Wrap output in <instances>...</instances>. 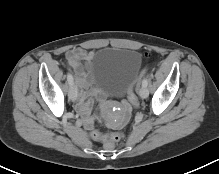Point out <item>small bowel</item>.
<instances>
[{
	"mask_svg": "<svg viewBox=\"0 0 219 174\" xmlns=\"http://www.w3.org/2000/svg\"><path fill=\"white\" fill-rule=\"evenodd\" d=\"M94 54V51H86L80 48L71 49L66 53V57L70 65L74 68L77 76V82L81 88L79 93L78 110L84 116V125L88 129L93 127L94 119L89 116L92 102L87 100V98L90 95L89 86L91 84V78L86 65H89V62ZM143 59L147 63H152L156 59V54L152 50H147L143 54ZM120 106L121 111L124 113V117L121 121L113 120L109 124V127L112 130H122L133 119V112L131 111L129 103L126 100H123L120 103Z\"/></svg>",
	"mask_w": 219,
	"mask_h": 174,
	"instance_id": "small-bowel-1",
	"label": "small bowel"
}]
</instances>
